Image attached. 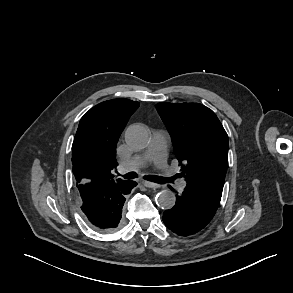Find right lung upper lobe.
<instances>
[{"instance_id":"obj_1","label":"right lung upper lobe","mask_w":293,"mask_h":293,"mask_svg":"<svg viewBox=\"0 0 293 293\" xmlns=\"http://www.w3.org/2000/svg\"><path fill=\"white\" fill-rule=\"evenodd\" d=\"M138 107L136 101L113 99L94 106L81 118L72 145L77 183L115 181L116 144L128 118Z\"/></svg>"}]
</instances>
